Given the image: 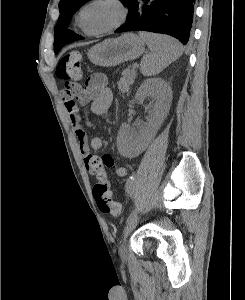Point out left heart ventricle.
I'll list each match as a JSON object with an SVG mask.
<instances>
[{
  "mask_svg": "<svg viewBox=\"0 0 245 300\" xmlns=\"http://www.w3.org/2000/svg\"><path fill=\"white\" fill-rule=\"evenodd\" d=\"M118 18L117 9L105 3L89 7L83 15V25L90 31L100 30L113 24Z\"/></svg>",
  "mask_w": 245,
  "mask_h": 300,
  "instance_id": "left-heart-ventricle-1",
  "label": "left heart ventricle"
}]
</instances>
